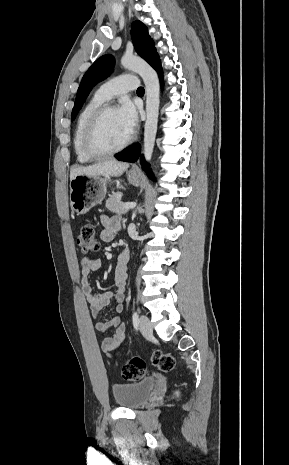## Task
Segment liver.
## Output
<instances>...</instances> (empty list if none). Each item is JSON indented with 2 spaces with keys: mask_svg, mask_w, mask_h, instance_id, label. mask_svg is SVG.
Returning <instances> with one entry per match:
<instances>
[{
  "mask_svg": "<svg viewBox=\"0 0 289 465\" xmlns=\"http://www.w3.org/2000/svg\"><path fill=\"white\" fill-rule=\"evenodd\" d=\"M128 167V163L116 160L103 161L86 167L73 168L70 172V179L77 175L117 177L122 175Z\"/></svg>",
  "mask_w": 289,
  "mask_h": 465,
  "instance_id": "obj_1",
  "label": "liver"
}]
</instances>
